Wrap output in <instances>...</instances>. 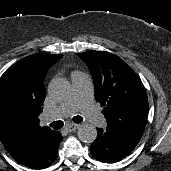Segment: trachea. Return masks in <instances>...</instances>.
I'll use <instances>...</instances> for the list:
<instances>
[{"mask_svg":"<svg viewBox=\"0 0 171 171\" xmlns=\"http://www.w3.org/2000/svg\"><path fill=\"white\" fill-rule=\"evenodd\" d=\"M72 120L75 122V123H81L83 121V118L81 116H75L72 118ZM50 126L55 129V130H58L60 128L63 127V121L59 120V121H54L53 123L50 124Z\"/></svg>","mask_w":171,"mask_h":171,"instance_id":"1","label":"trachea"}]
</instances>
